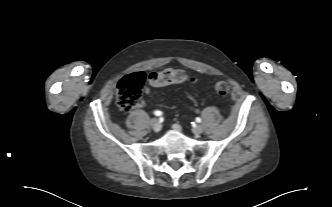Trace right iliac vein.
Wrapping results in <instances>:
<instances>
[{
    "instance_id": "63e3f726",
    "label": "right iliac vein",
    "mask_w": 332,
    "mask_h": 207,
    "mask_svg": "<svg viewBox=\"0 0 332 207\" xmlns=\"http://www.w3.org/2000/svg\"><path fill=\"white\" fill-rule=\"evenodd\" d=\"M150 125L153 128L154 131H159L161 128V124L156 118H153L150 120Z\"/></svg>"
}]
</instances>
